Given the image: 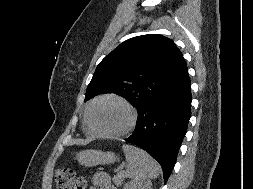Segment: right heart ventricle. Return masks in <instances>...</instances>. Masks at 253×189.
<instances>
[{"label":"right heart ventricle","mask_w":253,"mask_h":189,"mask_svg":"<svg viewBox=\"0 0 253 189\" xmlns=\"http://www.w3.org/2000/svg\"><path fill=\"white\" fill-rule=\"evenodd\" d=\"M85 124H86V121H85ZM86 131L88 134H91V131L89 130V128L87 127V124H86Z\"/></svg>","instance_id":"obj_1"}]
</instances>
